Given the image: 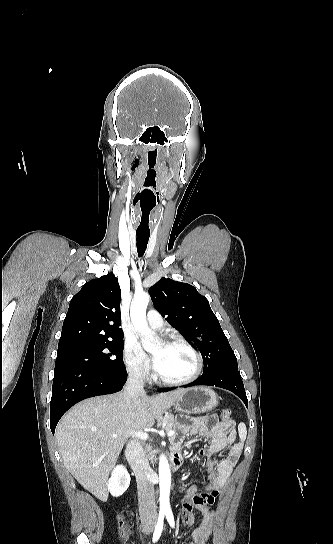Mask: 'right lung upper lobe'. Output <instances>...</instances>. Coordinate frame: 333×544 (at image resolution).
<instances>
[{
  "mask_svg": "<svg viewBox=\"0 0 333 544\" xmlns=\"http://www.w3.org/2000/svg\"><path fill=\"white\" fill-rule=\"evenodd\" d=\"M118 279L108 273L83 285L63 322L59 348L123 336Z\"/></svg>",
  "mask_w": 333,
  "mask_h": 544,
  "instance_id": "obj_1",
  "label": "right lung upper lobe"
}]
</instances>
